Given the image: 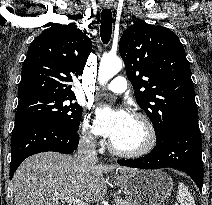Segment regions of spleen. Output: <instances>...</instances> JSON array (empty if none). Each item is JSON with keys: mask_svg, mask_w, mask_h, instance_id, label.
<instances>
[{"mask_svg": "<svg viewBox=\"0 0 212 205\" xmlns=\"http://www.w3.org/2000/svg\"><path fill=\"white\" fill-rule=\"evenodd\" d=\"M176 199L180 205H196L191 192L183 183H179L178 185Z\"/></svg>", "mask_w": 212, "mask_h": 205, "instance_id": "obj_1", "label": "spleen"}]
</instances>
